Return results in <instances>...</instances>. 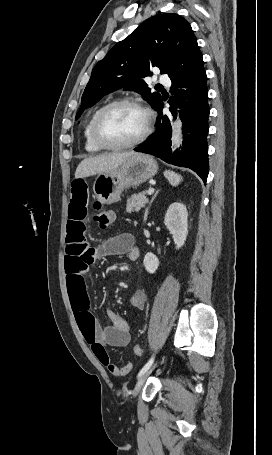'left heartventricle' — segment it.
<instances>
[{"label":"left heart ventricle","instance_id":"b2bd125f","mask_svg":"<svg viewBox=\"0 0 272 455\" xmlns=\"http://www.w3.org/2000/svg\"><path fill=\"white\" fill-rule=\"evenodd\" d=\"M144 114L130 105H120L108 110L101 118L99 131L104 140L122 144L135 140L143 131Z\"/></svg>","mask_w":272,"mask_h":455}]
</instances>
